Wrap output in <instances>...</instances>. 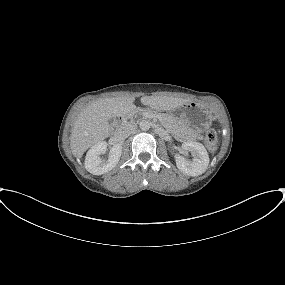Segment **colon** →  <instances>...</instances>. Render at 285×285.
<instances>
[{"label": "colon", "mask_w": 285, "mask_h": 285, "mask_svg": "<svg viewBox=\"0 0 285 285\" xmlns=\"http://www.w3.org/2000/svg\"><path fill=\"white\" fill-rule=\"evenodd\" d=\"M217 133L215 130L213 129H209L206 133H205V143L208 147V149L210 150H214L217 146Z\"/></svg>", "instance_id": "1"}]
</instances>
